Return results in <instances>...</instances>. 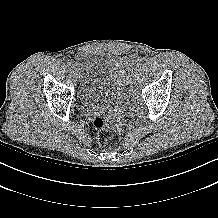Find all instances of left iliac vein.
Returning <instances> with one entry per match:
<instances>
[{
    "label": "left iliac vein",
    "instance_id": "left-iliac-vein-1",
    "mask_svg": "<svg viewBox=\"0 0 218 218\" xmlns=\"http://www.w3.org/2000/svg\"><path fill=\"white\" fill-rule=\"evenodd\" d=\"M142 68V66L139 64L138 66H137V68L131 73V77H130V80L131 81H134L135 80V77H137L138 76V71L140 70Z\"/></svg>",
    "mask_w": 218,
    "mask_h": 218
}]
</instances>
